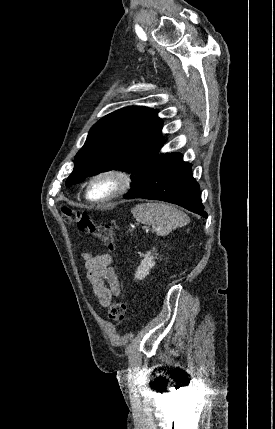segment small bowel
<instances>
[{
	"mask_svg": "<svg viewBox=\"0 0 275 429\" xmlns=\"http://www.w3.org/2000/svg\"><path fill=\"white\" fill-rule=\"evenodd\" d=\"M85 266L93 295L103 307L109 306L113 297L120 293L119 281L111 266L110 256L87 254Z\"/></svg>",
	"mask_w": 275,
	"mask_h": 429,
	"instance_id": "small-bowel-1",
	"label": "small bowel"
}]
</instances>
